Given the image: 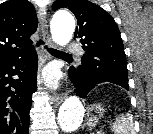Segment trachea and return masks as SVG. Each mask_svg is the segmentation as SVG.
<instances>
[{"mask_svg":"<svg viewBox=\"0 0 153 134\" xmlns=\"http://www.w3.org/2000/svg\"><path fill=\"white\" fill-rule=\"evenodd\" d=\"M41 43H43L42 40H40V41L37 43V46H39ZM45 48L47 49V51H48L50 54H52V55H54V56H71V55L68 54V53H65V52H62V51H59V50H56V49H53V48H47L46 46H45Z\"/></svg>","mask_w":153,"mask_h":134,"instance_id":"3493384b","label":"trachea"}]
</instances>
